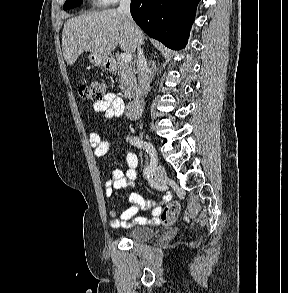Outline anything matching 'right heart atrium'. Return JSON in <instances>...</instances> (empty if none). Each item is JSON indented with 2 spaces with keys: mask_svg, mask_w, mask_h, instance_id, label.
Masks as SVG:
<instances>
[{
  "mask_svg": "<svg viewBox=\"0 0 288 293\" xmlns=\"http://www.w3.org/2000/svg\"><path fill=\"white\" fill-rule=\"evenodd\" d=\"M104 4H115L120 0H101Z\"/></svg>",
  "mask_w": 288,
  "mask_h": 293,
  "instance_id": "right-heart-atrium-1",
  "label": "right heart atrium"
}]
</instances>
